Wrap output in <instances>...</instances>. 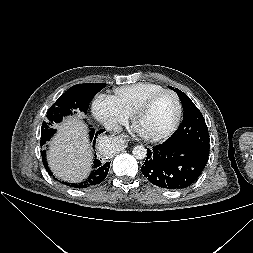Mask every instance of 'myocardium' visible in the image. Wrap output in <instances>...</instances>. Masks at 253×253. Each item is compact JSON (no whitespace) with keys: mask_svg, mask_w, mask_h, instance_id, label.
Here are the masks:
<instances>
[{"mask_svg":"<svg viewBox=\"0 0 253 253\" xmlns=\"http://www.w3.org/2000/svg\"><path fill=\"white\" fill-rule=\"evenodd\" d=\"M164 94H171L174 97V100H175V103H176V108H177L176 117H175L172 125L169 127V129L167 131H165L164 133L158 135V136H147V135L141 134L146 140H148L150 142L163 141V140L169 138L176 131V129L178 128V126L180 124V121H181V118H182L183 109H182V104H181L180 98L177 95V93L173 90H170V89L160 90V91L154 93L153 95L149 96L148 98H146L139 105V107L136 109V111L132 115V123L136 127V124H137V121L139 120V118L141 116H143L150 109L152 104L160 96H162Z\"/></svg>","mask_w":253,"mask_h":253,"instance_id":"myocardium-1","label":"myocardium"}]
</instances>
